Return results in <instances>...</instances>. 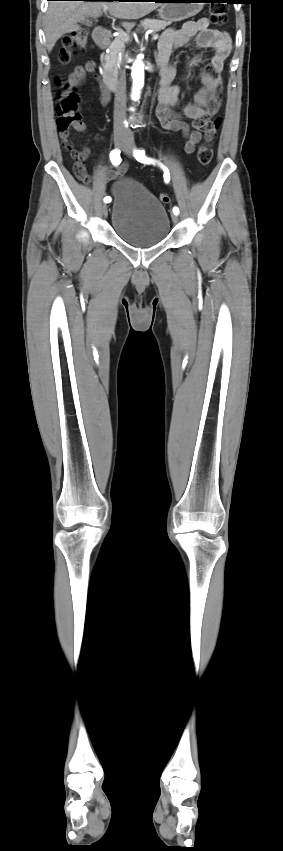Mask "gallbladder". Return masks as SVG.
<instances>
[{
    "mask_svg": "<svg viewBox=\"0 0 283 851\" xmlns=\"http://www.w3.org/2000/svg\"><path fill=\"white\" fill-rule=\"evenodd\" d=\"M80 22H81V23H89V21H88V20H83V21H80Z\"/></svg>",
    "mask_w": 283,
    "mask_h": 851,
    "instance_id": "obj_1",
    "label": "gallbladder"
}]
</instances>
